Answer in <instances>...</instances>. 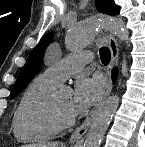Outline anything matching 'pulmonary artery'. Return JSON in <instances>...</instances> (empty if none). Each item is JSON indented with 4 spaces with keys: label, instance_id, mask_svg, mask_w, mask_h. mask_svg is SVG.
<instances>
[{
    "label": "pulmonary artery",
    "instance_id": "e3ab8cb5",
    "mask_svg": "<svg viewBox=\"0 0 145 147\" xmlns=\"http://www.w3.org/2000/svg\"><path fill=\"white\" fill-rule=\"evenodd\" d=\"M92 60L91 52L73 53L50 65L45 69L44 74L56 83H60L68 76L80 72Z\"/></svg>",
    "mask_w": 145,
    "mask_h": 147
}]
</instances>
